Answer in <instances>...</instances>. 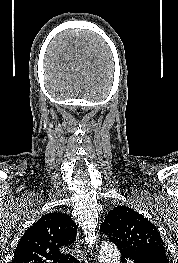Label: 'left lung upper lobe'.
Segmentation results:
<instances>
[{
	"label": "left lung upper lobe",
	"mask_w": 178,
	"mask_h": 263,
	"mask_svg": "<svg viewBox=\"0 0 178 263\" xmlns=\"http://www.w3.org/2000/svg\"><path fill=\"white\" fill-rule=\"evenodd\" d=\"M101 232L120 248L145 250L166 256L164 242L148 219L125 206H118L108 213Z\"/></svg>",
	"instance_id": "left-lung-upper-lobe-1"
}]
</instances>
